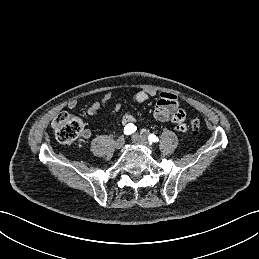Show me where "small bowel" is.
Returning a JSON list of instances; mask_svg holds the SVG:
<instances>
[{
  "mask_svg": "<svg viewBox=\"0 0 259 259\" xmlns=\"http://www.w3.org/2000/svg\"><path fill=\"white\" fill-rule=\"evenodd\" d=\"M156 92L153 90H142L134 95V100L138 104L145 103L151 97L155 96ZM112 98V93H106L100 101L93 102L87 108L88 115H95L100 109L106 107L107 103ZM77 105L76 101H70L68 107L74 109ZM119 110V107H115L110 113L115 114ZM153 115L155 119L160 122L170 121L175 125V129L178 131H186L187 127L185 124L186 112L180 108L179 98L170 92H161L159 100L157 101ZM122 123L124 125L135 123V119L131 114H125L122 117ZM91 131L88 128H85L81 132V136L84 139L89 138Z\"/></svg>",
  "mask_w": 259,
  "mask_h": 259,
  "instance_id": "small-bowel-1",
  "label": "small bowel"
}]
</instances>
